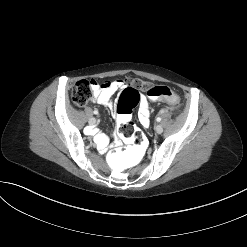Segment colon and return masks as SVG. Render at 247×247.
Wrapping results in <instances>:
<instances>
[{"label": "colon", "mask_w": 247, "mask_h": 247, "mask_svg": "<svg viewBox=\"0 0 247 247\" xmlns=\"http://www.w3.org/2000/svg\"><path fill=\"white\" fill-rule=\"evenodd\" d=\"M93 81L80 80L72 90V99L78 106H84L93 95ZM140 90H145L152 100H165L175 103L176 95L164 85H150L140 79H133L118 99L116 112L118 115L117 132L120 138L128 143L123 149H109L104 154V163L113 171H126L142 162L146 156L148 139L131 121V113L140 100Z\"/></svg>", "instance_id": "colon-1"}]
</instances>
